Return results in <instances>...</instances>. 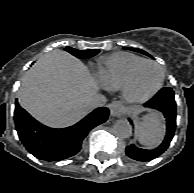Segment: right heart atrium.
I'll list each match as a JSON object with an SVG mask.
<instances>
[{
    "label": "right heart atrium",
    "mask_w": 194,
    "mask_h": 193,
    "mask_svg": "<svg viewBox=\"0 0 194 193\" xmlns=\"http://www.w3.org/2000/svg\"><path fill=\"white\" fill-rule=\"evenodd\" d=\"M94 79H95L96 85H98L99 87H101L103 89L108 88V86L99 78L97 73H95Z\"/></svg>",
    "instance_id": "d8ad5b80"
}]
</instances>
